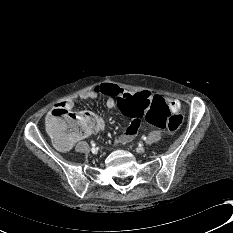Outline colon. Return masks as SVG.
I'll list each match as a JSON object with an SVG mask.
<instances>
[{
	"label": "colon",
	"instance_id": "5ec220e1",
	"mask_svg": "<svg viewBox=\"0 0 233 233\" xmlns=\"http://www.w3.org/2000/svg\"><path fill=\"white\" fill-rule=\"evenodd\" d=\"M117 104L124 116L139 118L145 113L149 124L169 133L177 132L183 122L177 102L166 105L163 98L153 96L147 90L125 92L118 98ZM98 126L96 117L91 113L76 114L63 104L52 109L47 121V127L55 138H83Z\"/></svg>",
	"mask_w": 233,
	"mask_h": 233
}]
</instances>
